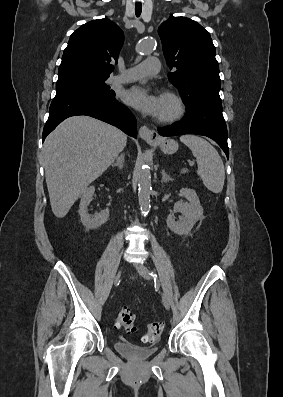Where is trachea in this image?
<instances>
[{
    "label": "trachea",
    "mask_w": 283,
    "mask_h": 397,
    "mask_svg": "<svg viewBox=\"0 0 283 397\" xmlns=\"http://www.w3.org/2000/svg\"><path fill=\"white\" fill-rule=\"evenodd\" d=\"M141 12H142V6L141 5H136L135 6V14H136V16L139 17Z\"/></svg>",
    "instance_id": "obj_1"
}]
</instances>
